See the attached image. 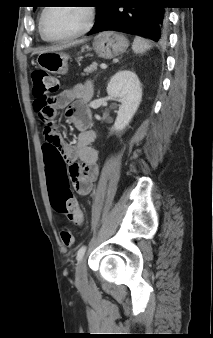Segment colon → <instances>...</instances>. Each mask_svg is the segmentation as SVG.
I'll return each instance as SVG.
<instances>
[{
  "instance_id": "5ec220e1",
  "label": "colon",
  "mask_w": 213,
  "mask_h": 338,
  "mask_svg": "<svg viewBox=\"0 0 213 338\" xmlns=\"http://www.w3.org/2000/svg\"><path fill=\"white\" fill-rule=\"evenodd\" d=\"M31 79L35 110L40 120L44 123V144L46 146L59 145L62 142L61 137L51 132L54 113L52 95L58 91L59 83L56 78L42 69L34 70L31 74ZM50 200L56 212L67 214L69 219L77 224L83 223V212L76 198L63 184H57L54 189L50 190ZM60 240L65 246H71L74 242L72 231L68 228L61 229Z\"/></svg>"
}]
</instances>
